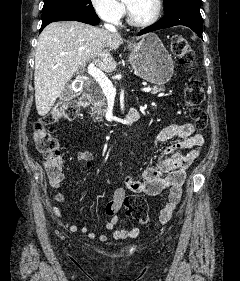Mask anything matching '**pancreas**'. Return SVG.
Returning <instances> with one entry per match:
<instances>
[{
    "label": "pancreas",
    "instance_id": "cf45deb5",
    "mask_svg": "<svg viewBox=\"0 0 240 281\" xmlns=\"http://www.w3.org/2000/svg\"><path fill=\"white\" fill-rule=\"evenodd\" d=\"M165 90L164 86L161 87H153L151 90V94H157L158 92H162ZM93 117L95 120L102 121V118L104 117V113L106 112V107H107V99L106 96L104 95L102 90H97L96 93L93 95Z\"/></svg>",
    "mask_w": 240,
    "mask_h": 281
}]
</instances>
